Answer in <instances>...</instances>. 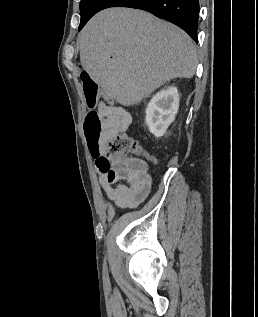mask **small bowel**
I'll return each instance as SVG.
<instances>
[{"label":"small bowel","instance_id":"c3829d8e","mask_svg":"<svg viewBox=\"0 0 258 317\" xmlns=\"http://www.w3.org/2000/svg\"><path fill=\"white\" fill-rule=\"evenodd\" d=\"M98 109L106 115L108 136L125 132L131 124V115L123 108L100 103ZM99 183L116 208L136 207L148 196L151 178L148 163L139 158L122 160L108 156L105 148L92 152Z\"/></svg>","mask_w":258,"mask_h":317}]
</instances>
